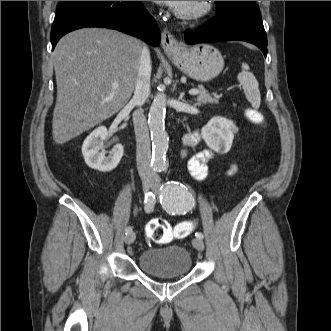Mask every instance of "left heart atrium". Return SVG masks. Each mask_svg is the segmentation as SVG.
<instances>
[{"label":"left heart atrium","instance_id":"left-heart-atrium-1","mask_svg":"<svg viewBox=\"0 0 331 331\" xmlns=\"http://www.w3.org/2000/svg\"><path fill=\"white\" fill-rule=\"evenodd\" d=\"M158 4L168 5L171 7H178L182 1H155Z\"/></svg>","mask_w":331,"mask_h":331}]
</instances>
